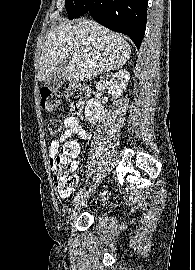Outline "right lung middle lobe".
Here are the masks:
<instances>
[{
	"instance_id": "dd1d6c3e",
	"label": "right lung middle lobe",
	"mask_w": 195,
	"mask_h": 270,
	"mask_svg": "<svg viewBox=\"0 0 195 270\" xmlns=\"http://www.w3.org/2000/svg\"><path fill=\"white\" fill-rule=\"evenodd\" d=\"M65 8L69 19L82 16L88 11L89 4L87 0H65Z\"/></svg>"
}]
</instances>
